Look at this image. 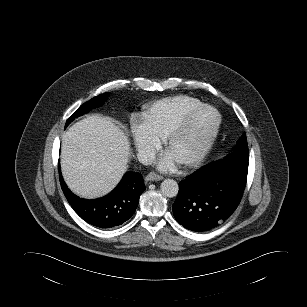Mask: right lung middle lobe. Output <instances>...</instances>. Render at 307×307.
Here are the masks:
<instances>
[{
  "mask_svg": "<svg viewBox=\"0 0 307 307\" xmlns=\"http://www.w3.org/2000/svg\"><path fill=\"white\" fill-rule=\"evenodd\" d=\"M108 94L104 93L101 95H98L94 98H92L91 100H89L88 102L84 103L83 105H81L77 111L67 120L66 122V126L73 121L75 118L79 117L80 115H83L84 113L90 111L93 108H96L100 105L103 104L104 100H106Z\"/></svg>",
  "mask_w": 307,
  "mask_h": 307,
  "instance_id": "right-lung-middle-lobe-1",
  "label": "right lung middle lobe"
}]
</instances>
